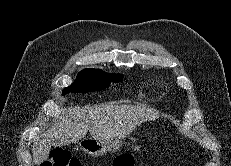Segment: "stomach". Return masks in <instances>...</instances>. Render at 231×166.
I'll list each match as a JSON object with an SVG mask.
<instances>
[{
  "instance_id": "stomach-1",
  "label": "stomach",
  "mask_w": 231,
  "mask_h": 166,
  "mask_svg": "<svg viewBox=\"0 0 231 166\" xmlns=\"http://www.w3.org/2000/svg\"><path fill=\"white\" fill-rule=\"evenodd\" d=\"M120 141H99V140H92L91 143L89 145H85L84 142H82L80 144L81 149L85 152V153H89V154H97V153H103L107 150H115V149H119L120 145H119Z\"/></svg>"
}]
</instances>
